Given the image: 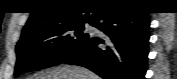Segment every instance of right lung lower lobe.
<instances>
[{
	"mask_svg": "<svg viewBox=\"0 0 177 79\" xmlns=\"http://www.w3.org/2000/svg\"><path fill=\"white\" fill-rule=\"evenodd\" d=\"M91 25L105 37L89 35L61 63L77 64L104 79H144L150 21L148 12L129 6L103 9Z\"/></svg>",
	"mask_w": 177,
	"mask_h": 79,
	"instance_id": "right-lung-lower-lobe-1",
	"label": "right lung lower lobe"
}]
</instances>
